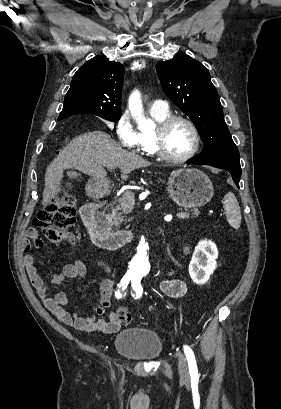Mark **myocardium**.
I'll use <instances>...</instances> for the list:
<instances>
[{
  "instance_id": "myocardium-1",
  "label": "myocardium",
  "mask_w": 281,
  "mask_h": 409,
  "mask_svg": "<svg viewBox=\"0 0 281 409\" xmlns=\"http://www.w3.org/2000/svg\"><path fill=\"white\" fill-rule=\"evenodd\" d=\"M175 122H183L186 124L193 136L192 148L187 154L179 157L171 156L164 148L165 134L169 127ZM149 138L154 154L163 160L172 163H182L188 161L195 156L200 146V134L196 125L188 117L183 115H170L161 122H157L154 128L149 131Z\"/></svg>"
}]
</instances>
